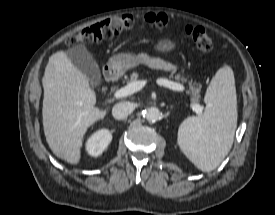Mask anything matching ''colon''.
<instances>
[{"mask_svg": "<svg viewBox=\"0 0 275 215\" xmlns=\"http://www.w3.org/2000/svg\"><path fill=\"white\" fill-rule=\"evenodd\" d=\"M136 21V18L129 14L117 15L67 37L64 45L73 46L78 43H97L103 39L111 38L130 30ZM140 21L159 29L166 27L168 24V19L164 14L156 13L146 14L140 18ZM185 32L199 50L209 52L213 49V41L203 28L189 25L185 28Z\"/></svg>", "mask_w": 275, "mask_h": 215, "instance_id": "obj_1", "label": "colon"}]
</instances>
